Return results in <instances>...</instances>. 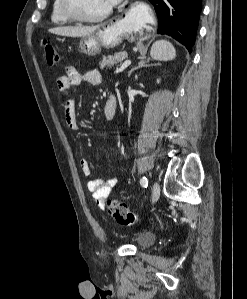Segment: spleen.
I'll return each mask as SVG.
<instances>
[{
    "mask_svg": "<svg viewBox=\"0 0 247 299\" xmlns=\"http://www.w3.org/2000/svg\"><path fill=\"white\" fill-rule=\"evenodd\" d=\"M150 55L154 60L170 61L176 57V51L169 41L158 40L152 45Z\"/></svg>",
    "mask_w": 247,
    "mask_h": 299,
    "instance_id": "spleen-1",
    "label": "spleen"
}]
</instances>
